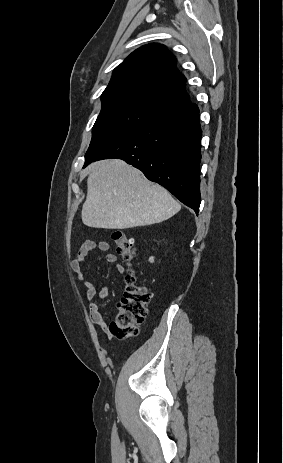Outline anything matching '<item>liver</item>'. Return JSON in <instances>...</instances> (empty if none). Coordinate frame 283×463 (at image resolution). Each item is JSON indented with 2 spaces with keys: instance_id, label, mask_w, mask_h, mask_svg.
<instances>
[{
  "instance_id": "1",
  "label": "liver",
  "mask_w": 283,
  "mask_h": 463,
  "mask_svg": "<svg viewBox=\"0 0 283 463\" xmlns=\"http://www.w3.org/2000/svg\"><path fill=\"white\" fill-rule=\"evenodd\" d=\"M82 222L92 228L127 229L163 222L181 205L162 186L122 160L111 159L89 167Z\"/></svg>"
}]
</instances>
